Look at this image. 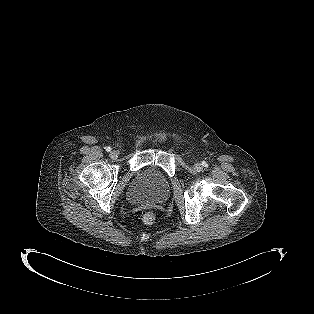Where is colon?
I'll list each match as a JSON object with an SVG mask.
<instances>
[{
    "instance_id": "1",
    "label": "colon",
    "mask_w": 314,
    "mask_h": 314,
    "mask_svg": "<svg viewBox=\"0 0 314 314\" xmlns=\"http://www.w3.org/2000/svg\"><path fill=\"white\" fill-rule=\"evenodd\" d=\"M141 220L145 224H152L156 220V214L153 211H143L141 213Z\"/></svg>"
}]
</instances>
